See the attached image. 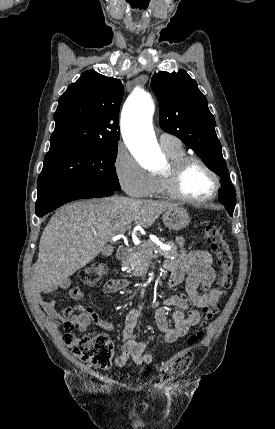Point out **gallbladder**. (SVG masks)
Here are the masks:
<instances>
[{"mask_svg":"<svg viewBox=\"0 0 275 429\" xmlns=\"http://www.w3.org/2000/svg\"><path fill=\"white\" fill-rule=\"evenodd\" d=\"M113 253V248L112 247H105L102 251V255L105 257L110 256Z\"/></svg>","mask_w":275,"mask_h":429,"instance_id":"gallbladder-1","label":"gallbladder"}]
</instances>
